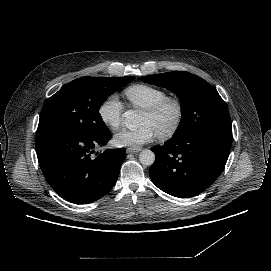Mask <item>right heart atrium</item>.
<instances>
[{
    "mask_svg": "<svg viewBox=\"0 0 271 271\" xmlns=\"http://www.w3.org/2000/svg\"><path fill=\"white\" fill-rule=\"evenodd\" d=\"M123 111L124 107L117 93L107 96L97 108L99 119L112 131L121 126Z\"/></svg>",
    "mask_w": 271,
    "mask_h": 271,
    "instance_id": "d8ad5b80",
    "label": "right heart atrium"
}]
</instances>
